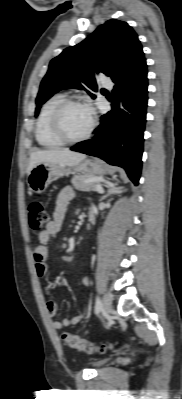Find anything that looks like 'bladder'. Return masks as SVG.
<instances>
[{
    "label": "bladder",
    "instance_id": "bladder-1",
    "mask_svg": "<svg viewBox=\"0 0 182 399\" xmlns=\"http://www.w3.org/2000/svg\"><path fill=\"white\" fill-rule=\"evenodd\" d=\"M108 362V359H101V360H97L95 362H93V365L95 367H101L103 365H105Z\"/></svg>",
    "mask_w": 182,
    "mask_h": 399
}]
</instances>
